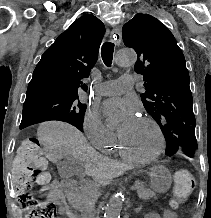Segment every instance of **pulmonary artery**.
<instances>
[{"instance_id": "1", "label": "pulmonary artery", "mask_w": 211, "mask_h": 218, "mask_svg": "<svg viewBox=\"0 0 211 218\" xmlns=\"http://www.w3.org/2000/svg\"><path fill=\"white\" fill-rule=\"evenodd\" d=\"M134 79L135 77L132 75H123L118 80L101 82L97 84V92L101 95H111L116 93H123L125 91H132V87H136V82Z\"/></svg>"}]
</instances>
